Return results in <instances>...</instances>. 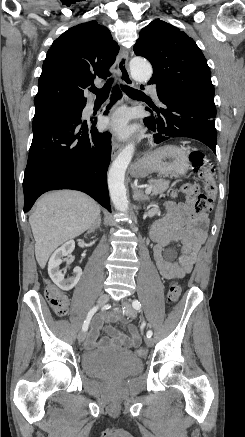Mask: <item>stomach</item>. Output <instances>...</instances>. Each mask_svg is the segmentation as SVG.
Listing matches in <instances>:
<instances>
[{"label": "stomach", "mask_w": 245, "mask_h": 437, "mask_svg": "<svg viewBox=\"0 0 245 437\" xmlns=\"http://www.w3.org/2000/svg\"><path fill=\"white\" fill-rule=\"evenodd\" d=\"M189 160L186 152L174 145H166L146 154L131 169V176L142 178L158 172L172 177L186 174Z\"/></svg>", "instance_id": "0dacf381"}]
</instances>
